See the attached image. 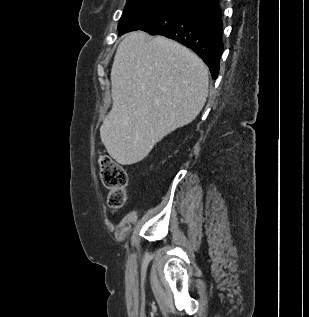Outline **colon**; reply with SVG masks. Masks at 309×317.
<instances>
[{
    "mask_svg": "<svg viewBox=\"0 0 309 317\" xmlns=\"http://www.w3.org/2000/svg\"><path fill=\"white\" fill-rule=\"evenodd\" d=\"M101 180L109 190L108 205L112 209L121 208L127 199L126 186L128 182L126 170L107 155L99 157Z\"/></svg>",
    "mask_w": 309,
    "mask_h": 317,
    "instance_id": "5ec220e1",
    "label": "colon"
}]
</instances>
